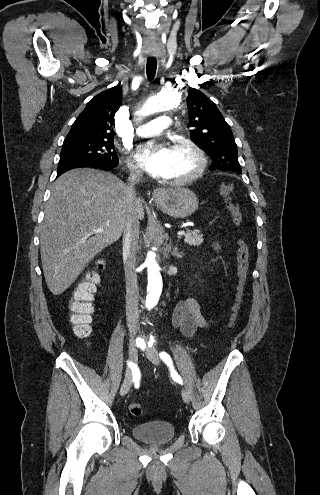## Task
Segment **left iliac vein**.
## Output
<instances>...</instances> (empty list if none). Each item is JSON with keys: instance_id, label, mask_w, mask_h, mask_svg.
Returning <instances> with one entry per match:
<instances>
[{"instance_id": "4c4485c4", "label": "left iliac vein", "mask_w": 320, "mask_h": 495, "mask_svg": "<svg viewBox=\"0 0 320 495\" xmlns=\"http://www.w3.org/2000/svg\"><path fill=\"white\" fill-rule=\"evenodd\" d=\"M145 354H146L147 358L153 364H155V365H159L160 364L159 353H158V350L156 348H154V347L147 348L145 350ZM181 395H182V398H183L184 402H186V403H189L190 402L191 395H190V392L186 388H183L182 389Z\"/></svg>"}]
</instances>
